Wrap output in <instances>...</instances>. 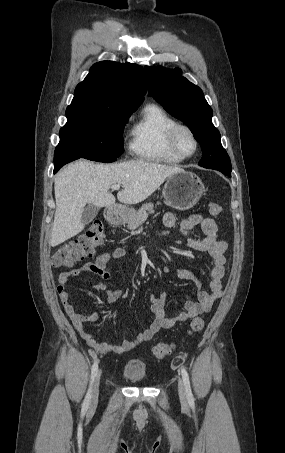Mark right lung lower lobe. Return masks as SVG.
<instances>
[{
    "mask_svg": "<svg viewBox=\"0 0 285 453\" xmlns=\"http://www.w3.org/2000/svg\"><path fill=\"white\" fill-rule=\"evenodd\" d=\"M73 160H76L73 153L56 149L54 154V173H56L63 165Z\"/></svg>",
    "mask_w": 285,
    "mask_h": 453,
    "instance_id": "1",
    "label": "right lung lower lobe"
}]
</instances>
